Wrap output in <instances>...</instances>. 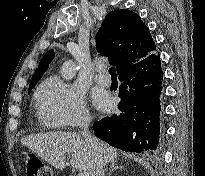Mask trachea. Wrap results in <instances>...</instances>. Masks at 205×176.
Instances as JSON below:
<instances>
[{
    "mask_svg": "<svg viewBox=\"0 0 205 176\" xmlns=\"http://www.w3.org/2000/svg\"><path fill=\"white\" fill-rule=\"evenodd\" d=\"M109 74L111 75V77H116V70L114 67H111L109 69Z\"/></svg>",
    "mask_w": 205,
    "mask_h": 176,
    "instance_id": "1",
    "label": "trachea"
}]
</instances>
